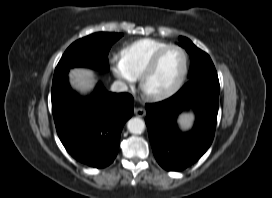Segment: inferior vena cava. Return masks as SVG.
<instances>
[{"label":"inferior vena cava","instance_id":"1","mask_svg":"<svg viewBox=\"0 0 272 198\" xmlns=\"http://www.w3.org/2000/svg\"><path fill=\"white\" fill-rule=\"evenodd\" d=\"M111 90L113 92H125L128 90L127 85L122 82V81H115L112 85H111Z\"/></svg>","mask_w":272,"mask_h":198}]
</instances>
